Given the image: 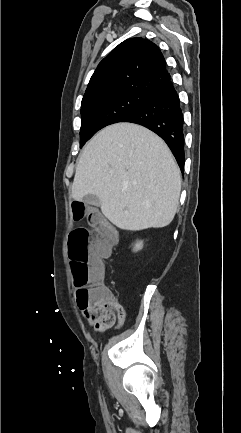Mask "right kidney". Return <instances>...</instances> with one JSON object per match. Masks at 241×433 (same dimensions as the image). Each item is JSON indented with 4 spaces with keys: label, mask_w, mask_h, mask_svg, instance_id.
<instances>
[{
    "label": "right kidney",
    "mask_w": 241,
    "mask_h": 433,
    "mask_svg": "<svg viewBox=\"0 0 241 433\" xmlns=\"http://www.w3.org/2000/svg\"><path fill=\"white\" fill-rule=\"evenodd\" d=\"M142 248H143V241H138V242L135 244V246H134V248H133V251H134V252H137V251L141 250Z\"/></svg>",
    "instance_id": "1"
}]
</instances>
